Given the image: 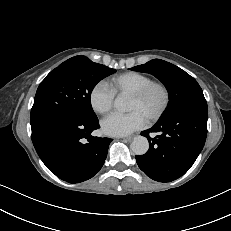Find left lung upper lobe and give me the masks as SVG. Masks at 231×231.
Wrapping results in <instances>:
<instances>
[{"instance_id": "5c2ea615", "label": "left lung upper lobe", "mask_w": 231, "mask_h": 231, "mask_svg": "<svg viewBox=\"0 0 231 231\" xmlns=\"http://www.w3.org/2000/svg\"><path fill=\"white\" fill-rule=\"evenodd\" d=\"M130 69L154 75L167 88L169 103L160 119L171 115L175 110L190 102L205 100L202 89L197 81L184 70L169 62L153 59L146 64Z\"/></svg>"}]
</instances>
